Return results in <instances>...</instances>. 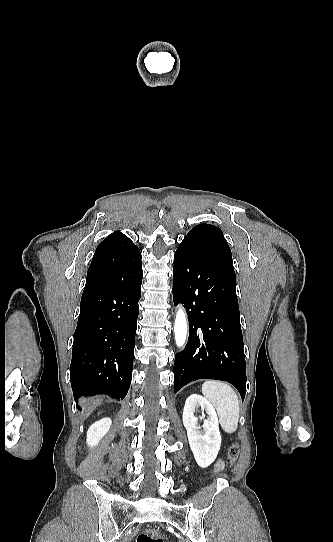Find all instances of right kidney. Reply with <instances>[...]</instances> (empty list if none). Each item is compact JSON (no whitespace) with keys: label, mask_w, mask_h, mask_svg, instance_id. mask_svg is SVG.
<instances>
[{"label":"right kidney","mask_w":333,"mask_h":542,"mask_svg":"<svg viewBox=\"0 0 333 542\" xmlns=\"http://www.w3.org/2000/svg\"><path fill=\"white\" fill-rule=\"evenodd\" d=\"M111 424L112 422L110 418H102V420H99V422H95V424H92V426H90L87 432L86 440L89 448H93V446H98L103 436H105V434L109 432Z\"/></svg>","instance_id":"1"}]
</instances>
